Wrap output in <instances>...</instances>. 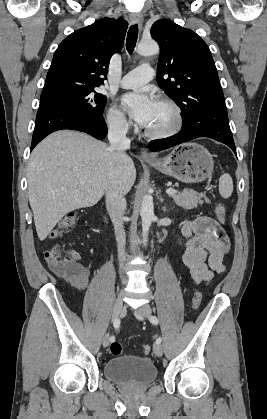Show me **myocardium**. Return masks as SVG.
Segmentation results:
<instances>
[{"label":"myocardium","mask_w":267,"mask_h":419,"mask_svg":"<svg viewBox=\"0 0 267 419\" xmlns=\"http://www.w3.org/2000/svg\"><path fill=\"white\" fill-rule=\"evenodd\" d=\"M157 101L166 104L171 108L174 115V122L168 128L159 131L145 128L144 133L151 139H164L171 137L179 132L183 125V115L180 106L170 97L160 96L157 98Z\"/></svg>","instance_id":"f54148a6"}]
</instances>
